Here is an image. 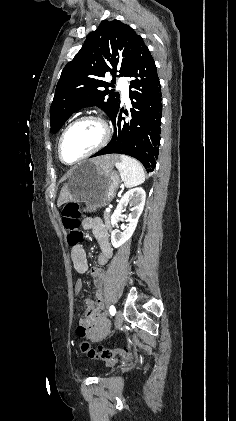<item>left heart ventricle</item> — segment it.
Returning <instances> with one entry per match:
<instances>
[{
    "label": "left heart ventricle",
    "instance_id": "b2bd125f",
    "mask_svg": "<svg viewBox=\"0 0 236 421\" xmlns=\"http://www.w3.org/2000/svg\"><path fill=\"white\" fill-rule=\"evenodd\" d=\"M102 127L95 122H82L72 127L66 134L63 146V159L71 163L92 150L101 141Z\"/></svg>",
    "mask_w": 236,
    "mask_h": 421
}]
</instances>
